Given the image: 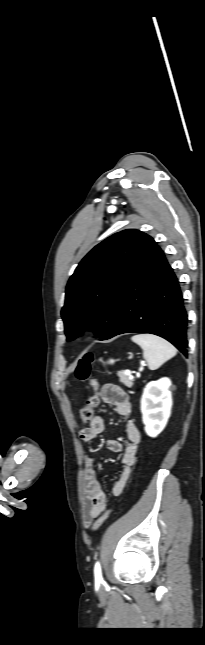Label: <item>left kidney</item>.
Listing matches in <instances>:
<instances>
[{
    "label": "left kidney",
    "mask_w": 205,
    "mask_h": 645,
    "mask_svg": "<svg viewBox=\"0 0 205 645\" xmlns=\"http://www.w3.org/2000/svg\"><path fill=\"white\" fill-rule=\"evenodd\" d=\"M170 386V379L162 378L149 382L144 388L141 398V412L145 432L150 437L159 435L170 417L172 408Z\"/></svg>",
    "instance_id": "obj_1"
}]
</instances>
